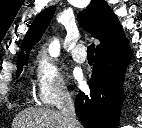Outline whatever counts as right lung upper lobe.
<instances>
[{
	"instance_id": "1",
	"label": "right lung upper lobe",
	"mask_w": 142,
	"mask_h": 128,
	"mask_svg": "<svg viewBox=\"0 0 142 128\" xmlns=\"http://www.w3.org/2000/svg\"><path fill=\"white\" fill-rule=\"evenodd\" d=\"M54 11V6L48 7L35 18L21 46L26 54L20 53L17 63L28 60V51L40 40ZM78 21L101 42L96 47V53L108 52L127 41L118 18L104 0H91L89 6L79 13Z\"/></svg>"
}]
</instances>
